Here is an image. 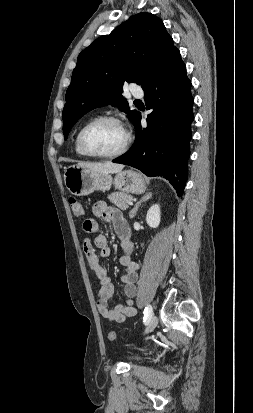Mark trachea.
I'll use <instances>...</instances> for the list:
<instances>
[{
    "label": "trachea",
    "mask_w": 253,
    "mask_h": 413,
    "mask_svg": "<svg viewBox=\"0 0 253 413\" xmlns=\"http://www.w3.org/2000/svg\"><path fill=\"white\" fill-rule=\"evenodd\" d=\"M134 102H135V103H139V102H141V101H140V100H135Z\"/></svg>",
    "instance_id": "1"
}]
</instances>
